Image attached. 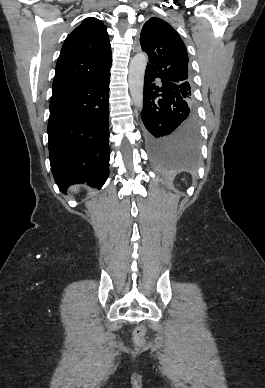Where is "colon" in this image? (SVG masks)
I'll return each instance as SVG.
<instances>
[{"label": "colon", "mask_w": 265, "mask_h": 388, "mask_svg": "<svg viewBox=\"0 0 265 388\" xmlns=\"http://www.w3.org/2000/svg\"><path fill=\"white\" fill-rule=\"evenodd\" d=\"M146 326L144 325H140L138 326L135 331H134V334H133V337H134V341L137 343V344H142L144 342V338H145V334H146Z\"/></svg>", "instance_id": "colon-1"}]
</instances>
